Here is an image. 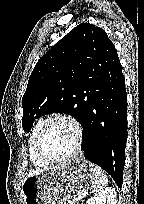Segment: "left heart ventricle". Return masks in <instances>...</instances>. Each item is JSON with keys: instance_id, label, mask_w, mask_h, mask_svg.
Wrapping results in <instances>:
<instances>
[{"instance_id": "left-heart-ventricle-1", "label": "left heart ventricle", "mask_w": 144, "mask_h": 204, "mask_svg": "<svg viewBox=\"0 0 144 204\" xmlns=\"http://www.w3.org/2000/svg\"><path fill=\"white\" fill-rule=\"evenodd\" d=\"M75 142L74 128L67 122L56 121L46 131L42 147L48 156L60 158L73 151Z\"/></svg>"}]
</instances>
